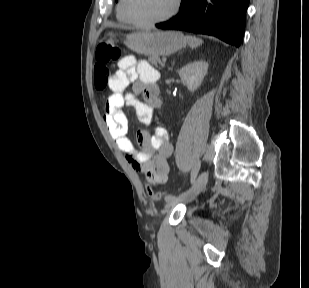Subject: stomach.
<instances>
[{"label":"stomach","mask_w":309,"mask_h":288,"mask_svg":"<svg viewBox=\"0 0 309 288\" xmlns=\"http://www.w3.org/2000/svg\"><path fill=\"white\" fill-rule=\"evenodd\" d=\"M107 36L110 41L116 38L112 32ZM120 38L132 51L148 57L169 55L187 44L186 37L178 31L133 32Z\"/></svg>","instance_id":"stomach-1"}]
</instances>
